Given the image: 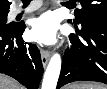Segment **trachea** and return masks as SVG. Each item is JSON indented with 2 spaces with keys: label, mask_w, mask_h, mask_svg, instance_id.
<instances>
[{
  "label": "trachea",
  "mask_w": 107,
  "mask_h": 89,
  "mask_svg": "<svg viewBox=\"0 0 107 89\" xmlns=\"http://www.w3.org/2000/svg\"><path fill=\"white\" fill-rule=\"evenodd\" d=\"M23 4L26 5V4H29L30 3V0H22ZM64 5L66 6H71L72 4L70 3H63Z\"/></svg>",
  "instance_id": "trachea-1"
}]
</instances>
